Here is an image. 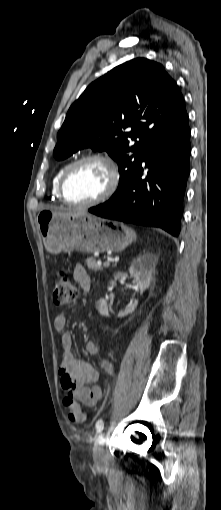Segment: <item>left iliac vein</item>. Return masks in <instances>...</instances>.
Returning a JSON list of instances; mask_svg holds the SVG:
<instances>
[{
    "label": "left iliac vein",
    "instance_id": "obj_1",
    "mask_svg": "<svg viewBox=\"0 0 221 510\" xmlns=\"http://www.w3.org/2000/svg\"><path fill=\"white\" fill-rule=\"evenodd\" d=\"M104 440L101 438L98 443L95 444L93 450V457L97 466H102L104 462Z\"/></svg>",
    "mask_w": 221,
    "mask_h": 510
}]
</instances>
